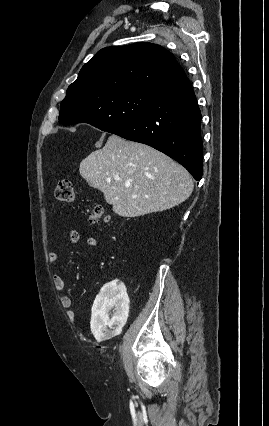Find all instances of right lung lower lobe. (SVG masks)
<instances>
[{"label":"right lung lower lobe","mask_w":269,"mask_h":426,"mask_svg":"<svg viewBox=\"0 0 269 426\" xmlns=\"http://www.w3.org/2000/svg\"><path fill=\"white\" fill-rule=\"evenodd\" d=\"M110 133L149 145L179 162L196 180L202 177L201 113L187 77L159 89L140 117Z\"/></svg>","instance_id":"1"}]
</instances>
